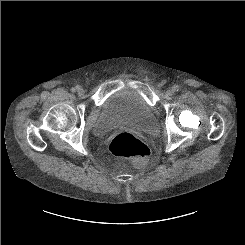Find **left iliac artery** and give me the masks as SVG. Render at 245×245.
<instances>
[{"instance_id": "left-iliac-artery-1", "label": "left iliac artery", "mask_w": 245, "mask_h": 245, "mask_svg": "<svg viewBox=\"0 0 245 245\" xmlns=\"http://www.w3.org/2000/svg\"><path fill=\"white\" fill-rule=\"evenodd\" d=\"M173 90H174L175 92H177V91L179 90V87L176 85V86L173 87Z\"/></svg>"}]
</instances>
